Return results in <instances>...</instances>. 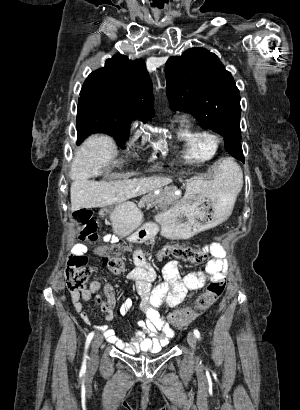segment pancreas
<instances>
[{"mask_svg": "<svg viewBox=\"0 0 300 410\" xmlns=\"http://www.w3.org/2000/svg\"><path fill=\"white\" fill-rule=\"evenodd\" d=\"M180 198V195H175L173 190L165 189L160 192L158 195L150 193L144 196L139 202L140 206L147 205L148 207L158 206L161 209H167L170 206H173Z\"/></svg>", "mask_w": 300, "mask_h": 410, "instance_id": "obj_1", "label": "pancreas"}]
</instances>
